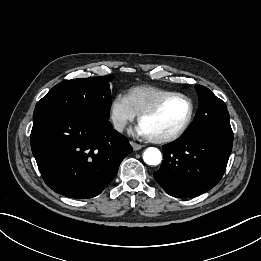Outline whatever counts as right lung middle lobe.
<instances>
[{"label":"right lung middle lobe","instance_id":"obj_1","mask_svg":"<svg viewBox=\"0 0 261 261\" xmlns=\"http://www.w3.org/2000/svg\"><path fill=\"white\" fill-rule=\"evenodd\" d=\"M112 77H90L64 81L54 86L35 109H49L87 115L105 126L111 107L109 81Z\"/></svg>","mask_w":261,"mask_h":261}]
</instances>
